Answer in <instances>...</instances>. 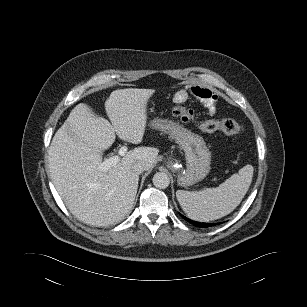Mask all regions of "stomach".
<instances>
[{
    "mask_svg": "<svg viewBox=\"0 0 307 307\" xmlns=\"http://www.w3.org/2000/svg\"><path fill=\"white\" fill-rule=\"evenodd\" d=\"M151 125L169 134L185 153L186 169L178 167V163L173 160L167 163L169 168L178 172V185L183 187L193 185L209 174L211 153L201 136L167 119H156L151 122Z\"/></svg>",
    "mask_w": 307,
    "mask_h": 307,
    "instance_id": "1",
    "label": "stomach"
}]
</instances>
